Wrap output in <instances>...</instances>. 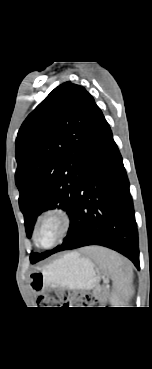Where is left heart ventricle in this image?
<instances>
[{"label":"left heart ventricle","instance_id":"1","mask_svg":"<svg viewBox=\"0 0 152 369\" xmlns=\"http://www.w3.org/2000/svg\"><path fill=\"white\" fill-rule=\"evenodd\" d=\"M60 231L59 221L55 218L47 219L39 231V241L42 245H50L58 236Z\"/></svg>","mask_w":152,"mask_h":369}]
</instances>
